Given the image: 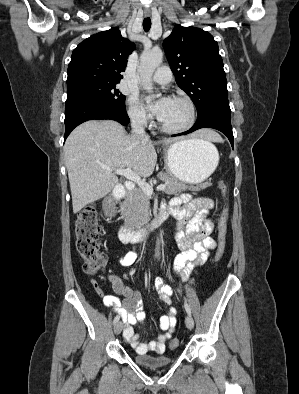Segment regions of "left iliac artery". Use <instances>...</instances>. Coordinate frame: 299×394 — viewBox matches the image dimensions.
Wrapping results in <instances>:
<instances>
[{
  "label": "left iliac artery",
  "instance_id": "44dca946",
  "mask_svg": "<svg viewBox=\"0 0 299 394\" xmlns=\"http://www.w3.org/2000/svg\"><path fill=\"white\" fill-rule=\"evenodd\" d=\"M184 306H185V310L188 313V315H191V309H190L189 305L185 302Z\"/></svg>",
  "mask_w": 299,
  "mask_h": 394
}]
</instances>
